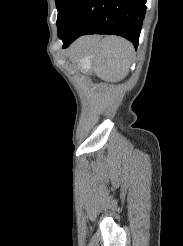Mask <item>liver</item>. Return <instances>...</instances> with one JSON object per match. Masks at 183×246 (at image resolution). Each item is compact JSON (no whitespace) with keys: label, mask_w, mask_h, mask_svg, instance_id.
<instances>
[{"label":"liver","mask_w":183,"mask_h":246,"mask_svg":"<svg viewBox=\"0 0 183 246\" xmlns=\"http://www.w3.org/2000/svg\"><path fill=\"white\" fill-rule=\"evenodd\" d=\"M99 41V37L96 36H89V37H84L78 41L79 46H92L97 44Z\"/></svg>","instance_id":"6515ba94"}]
</instances>
